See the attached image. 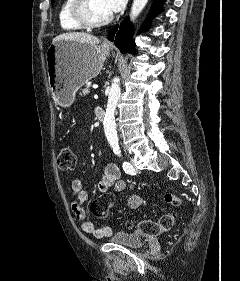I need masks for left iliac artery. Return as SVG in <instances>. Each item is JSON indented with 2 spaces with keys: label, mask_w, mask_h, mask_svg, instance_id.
Here are the masks:
<instances>
[{
  "label": "left iliac artery",
  "mask_w": 240,
  "mask_h": 281,
  "mask_svg": "<svg viewBox=\"0 0 240 281\" xmlns=\"http://www.w3.org/2000/svg\"><path fill=\"white\" fill-rule=\"evenodd\" d=\"M111 147H112L114 153L116 155H118L119 157H121V150H120V147H119L118 143H112ZM122 167H123V170L127 174H131V175H135L136 174L135 169L133 168V166L129 162L124 161Z\"/></svg>",
  "instance_id": "1"
}]
</instances>
